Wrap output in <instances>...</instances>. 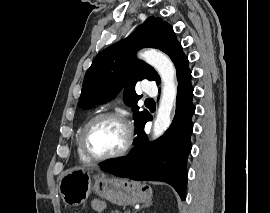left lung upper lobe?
Segmentation results:
<instances>
[{
  "instance_id": "obj_1",
  "label": "left lung upper lobe",
  "mask_w": 270,
  "mask_h": 213,
  "mask_svg": "<svg viewBox=\"0 0 270 213\" xmlns=\"http://www.w3.org/2000/svg\"><path fill=\"white\" fill-rule=\"evenodd\" d=\"M152 47L165 52L173 61L177 76L188 68V58L176 39L172 26L161 18L149 17L129 37L101 51L86 72L79 106L85 109L113 99L125 87L124 101L132 107L137 127L148 116L139 111L135 92L138 81L148 79L160 83L157 72L145 62L135 58L141 48Z\"/></svg>"
}]
</instances>
